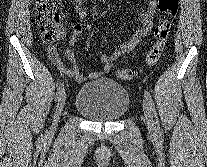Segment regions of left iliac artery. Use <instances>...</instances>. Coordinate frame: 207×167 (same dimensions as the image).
<instances>
[{
  "label": "left iliac artery",
  "instance_id": "1",
  "mask_svg": "<svg viewBox=\"0 0 207 167\" xmlns=\"http://www.w3.org/2000/svg\"><path fill=\"white\" fill-rule=\"evenodd\" d=\"M144 97L147 101V104L150 107V110L153 112V115L155 117V120H156L155 129H156L157 136L161 137V131H160V126H159V122H158V116H157V112H156L155 105H154V102L152 100V97H151L150 93L146 90L144 91Z\"/></svg>",
  "mask_w": 207,
  "mask_h": 167
}]
</instances>
